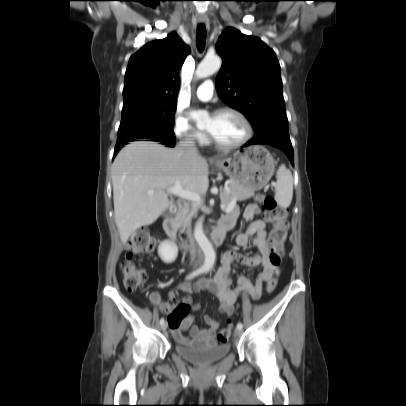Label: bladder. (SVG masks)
<instances>
[{
	"label": "bladder",
	"mask_w": 406,
	"mask_h": 406,
	"mask_svg": "<svg viewBox=\"0 0 406 406\" xmlns=\"http://www.w3.org/2000/svg\"><path fill=\"white\" fill-rule=\"evenodd\" d=\"M175 351L185 360L205 365L216 362L225 357L230 352V346L228 344L195 346L177 342L175 343Z\"/></svg>",
	"instance_id": "bladder-1"
}]
</instances>
